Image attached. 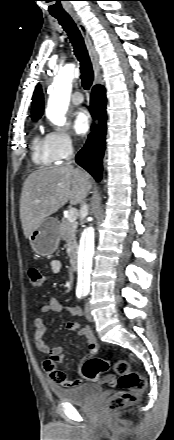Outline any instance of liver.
Wrapping results in <instances>:
<instances>
[{
    "label": "liver",
    "instance_id": "obj_1",
    "mask_svg": "<svg viewBox=\"0 0 174 440\" xmlns=\"http://www.w3.org/2000/svg\"><path fill=\"white\" fill-rule=\"evenodd\" d=\"M92 187L90 176L79 168L63 165L42 168L25 180L20 199L23 233L29 238L36 227L68 201L81 203Z\"/></svg>",
    "mask_w": 174,
    "mask_h": 440
}]
</instances>
